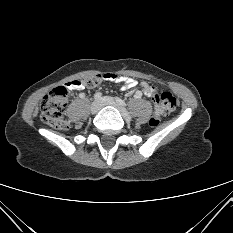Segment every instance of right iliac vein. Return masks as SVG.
<instances>
[{
  "label": "right iliac vein",
  "mask_w": 233,
  "mask_h": 233,
  "mask_svg": "<svg viewBox=\"0 0 233 233\" xmlns=\"http://www.w3.org/2000/svg\"><path fill=\"white\" fill-rule=\"evenodd\" d=\"M101 102L99 100L94 101L91 104L90 111L92 114H96L101 109Z\"/></svg>",
  "instance_id": "63e3f726"
}]
</instances>
